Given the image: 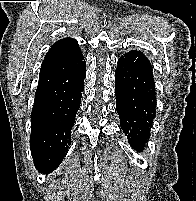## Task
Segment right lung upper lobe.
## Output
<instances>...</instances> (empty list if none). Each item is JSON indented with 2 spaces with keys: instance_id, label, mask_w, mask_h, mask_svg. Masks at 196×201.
<instances>
[{
  "instance_id": "1",
  "label": "right lung upper lobe",
  "mask_w": 196,
  "mask_h": 201,
  "mask_svg": "<svg viewBox=\"0 0 196 201\" xmlns=\"http://www.w3.org/2000/svg\"><path fill=\"white\" fill-rule=\"evenodd\" d=\"M55 58L81 59L83 58V54L75 39L64 38L53 44L44 60Z\"/></svg>"
}]
</instances>
